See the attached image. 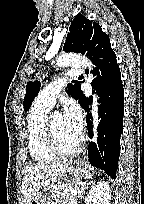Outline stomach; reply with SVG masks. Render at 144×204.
Masks as SVG:
<instances>
[{
    "label": "stomach",
    "mask_w": 144,
    "mask_h": 204,
    "mask_svg": "<svg viewBox=\"0 0 144 204\" xmlns=\"http://www.w3.org/2000/svg\"><path fill=\"white\" fill-rule=\"evenodd\" d=\"M84 176L91 177V173L80 162H77L75 165H70L66 168L63 177L58 183H65L68 186H72V184H76ZM58 187V185L54 184L41 188L31 204H46Z\"/></svg>",
    "instance_id": "0dacf381"
}]
</instances>
